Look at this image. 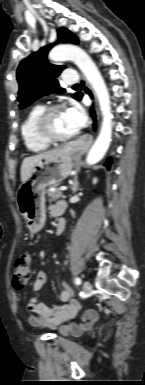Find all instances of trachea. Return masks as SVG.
I'll list each match as a JSON object with an SVG mask.
<instances>
[{"label": "trachea", "instance_id": "3493384b", "mask_svg": "<svg viewBox=\"0 0 145 385\" xmlns=\"http://www.w3.org/2000/svg\"><path fill=\"white\" fill-rule=\"evenodd\" d=\"M73 87H80V85L79 84H75Z\"/></svg>", "mask_w": 145, "mask_h": 385}]
</instances>
